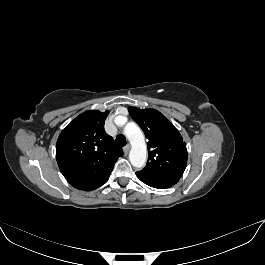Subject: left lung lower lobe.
Segmentation results:
<instances>
[{"mask_svg": "<svg viewBox=\"0 0 265 265\" xmlns=\"http://www.w3.org/2000/svg\"><path fill=\"white\" fill-rule=\"evenodd\" d=\"M136 175L145 184L158 189L169 188L176 184L179 180L174 178L150 176L139 171L136 172Z\"/></svg>", "mask_w": 265, "mask_h": 265, "instance_id": "obj_1", "label": "left lung lower lobe"}]
</instances>
